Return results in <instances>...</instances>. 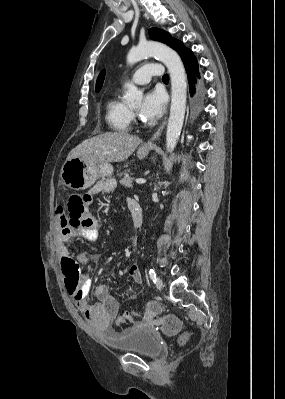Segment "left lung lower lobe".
I'll return each instance as SVG.
<instances>
[{
  "mask_svg": "<svg viewBox=\"0 0 285 399\" xmlns=\"http://www.w3.org/2000/svg\"><path fill=\"white\" fill-rule=\"evenodd\" d=\"M182 58V61L184 63L187 75H188V81H189V86H190V93L194 94L195 92V87L194 84L196 82V77L200 78L199 72H198V62L196 57L194 56L193 52L190 49H186L183 52L179 54Z\"/></svg>",
  "mask_w": 285,
  "mask_h": 399,
  "instance_id": "1",
  "label": "left lung lower lobe"
}]
</instances>
